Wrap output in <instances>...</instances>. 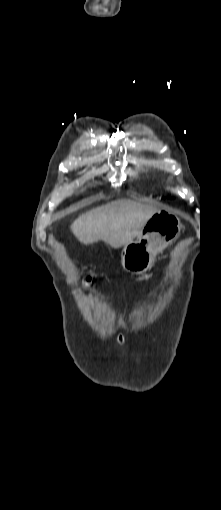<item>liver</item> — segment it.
Wrapping results in <instances>:
<instances>
[{
	"instance_id": "obj_1",
	"label": "liver",
	"mask_w": 221,
	"mask_h": 510,
	"mask_svg": "<svg viewBox=\"0 0 221 510\" xmlns=\"http://www.w3.org/2000/svg\"><path fill=\"white\" fill-rule=\"evenodd\" d=\"M158 211L131 200L113 201L80 215L71 231L84 245L101 240L118 249L138 237L147 220Z\"/></svg>"
}]
</instances>
